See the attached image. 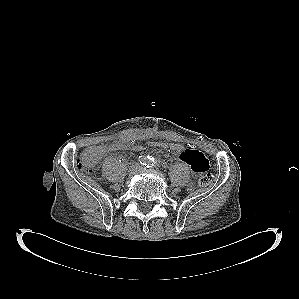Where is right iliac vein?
Segmentation results:
<instances>
[{
    "label": "right iliac vein",
    "instance_id": "right-iliac-vein-1",
    "mask_svg": "<svg viewBox=\"0 0 299 299\" xmlns=\"http://www.w3.org/2000/svg\"><path fill=\"white\" fill-rule=\"evenodd\" d=\"M137 168H138V165H137V164H131V165L129 166L128 171H129L130 174H132Z\"/></svg>",
    "mask_w": 299,
    "mask_h": 299
}]
</instances>
